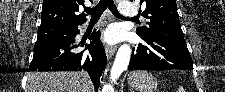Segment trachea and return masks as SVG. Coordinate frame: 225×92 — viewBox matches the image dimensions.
Returning <instances> with one entry per match:
<instances>
[{
    "mask_svg": "<svg viewBox=\"0 0 225 92\" xmlns=\"http://www.w3.org/2000/svg\"><path fill=\"white\" fill-rule=\"evenodd\" d=\"M106 8H108L114 16L123 18V16L117 10V7L114 4L113 0H100L95 7L85 9L84 11L86 12V14L91 15L92 19H95L99 18ZM132 19L136 20L135 18Z\"/></svg>",
    "mask_w": 225,
    "mask_h": 92,
    "instance_id": "trachea-1",
    "label": "trachea"
}]
</instances>
